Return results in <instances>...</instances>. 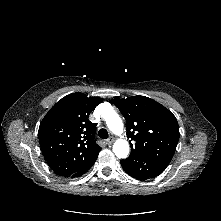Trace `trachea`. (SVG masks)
Here are the masks:
<instances>
[{"mask_svg":"<svg viewBox=\"0 0 221 221\" xmlns=\"http://www.w3.org/2000/svg\"><path fill=\"white\" fill-rule=\"evenodd\" d=\"M98 135H99V137L102 138V139H107V138L109 137V134H108L107 130L104 129V128H102V129H100V130L98 131Z\"/></svg>","mask_w":221,"mask_h":221,"instance_id":"obj_1","label":"trachea"}]
</instances>
